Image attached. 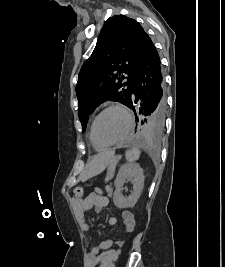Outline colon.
<instances>
[{
	"label": "colon",
	"mask_w": 225,
	"mask_h": 267,
	"mask_svg": "<svg viewBox=\"0 0 225 267\" xmlns=\"http://www.w3.org/2000/svg\"><path fill=\"white\" fill-rule=\"evenodd\" d=\"M73 196L76 199H82L84 196V188L82 186H76L73 190ZM107 267H115L112 262H108Z\"/></svg>",
	"instance_id": "obj_1"
}]
</instances>
